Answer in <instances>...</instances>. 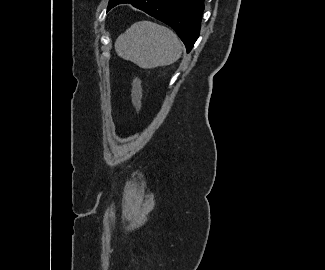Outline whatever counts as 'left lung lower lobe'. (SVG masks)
<instances>
[{
	"label": "left lung lower lobe",
	"instance_id": "0a47b994",
	"mask_svg": "<svg viewBox=\"0 0 325 270\" xmlns=\"http://www.w3.org/2000/svg\"><path fill=\"white\" fill-rule=\"evenodd\" d=\"M121 3H130L169 25L183 41L187 52L199 36L203 0H119L114 6Z\"/></svg>",
	"mask_w": 325,
	"mask_h": 270
}]
</instances>
